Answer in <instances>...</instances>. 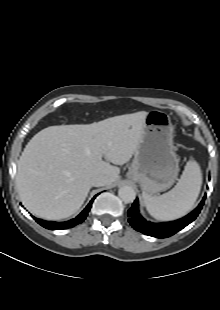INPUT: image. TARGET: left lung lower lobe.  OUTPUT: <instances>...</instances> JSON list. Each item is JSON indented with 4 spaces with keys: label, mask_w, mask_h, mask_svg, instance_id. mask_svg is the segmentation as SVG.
<instances>
[{
    "label": "left lung lower lobe",
    "mask_w": 220,
    "mask_h": 310,
    "mask_svg": "<svg viewBox=\"0 0 220 310\" xmlns=\"http://www.w3.org/2000/svg\"><path fill=\"white\" fill-rule=\"evenodd\" d=\"M205 198L206 195L198 207L187 216L179 220L166 223H152L145 220L139 213L138 199H136L132 204V207L128 210V217H130L128 221L135 230L145 235L156 238H167L174 235L196 219L203 207Z\"/></svg>",
    "instance_id": "left-lung-lower-lobe-1"
}]
</instances>
